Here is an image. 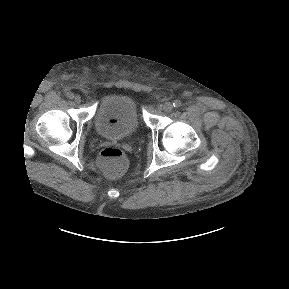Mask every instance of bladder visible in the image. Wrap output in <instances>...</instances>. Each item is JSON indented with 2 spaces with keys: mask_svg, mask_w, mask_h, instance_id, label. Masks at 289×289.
I'll use <instances>...</instances> for the list:
<instances>
[{
  "mask_svg": "<svg viewBox=\"0 0 289 289\" xmlns=\"http://www.w3.org/2000/svg\"><path fill=\"white\" fill-rule=\"evenodd\" d=\"M93 122L97 134L105 139L133 138L139 129L137 104L129 95H107L97 106Z\"/></svg>",
  "mask_w": 289,
  "mask_h": 289,
  "instance_id": "bladder-1",
  "label": "bladder"
}]
</instances>
